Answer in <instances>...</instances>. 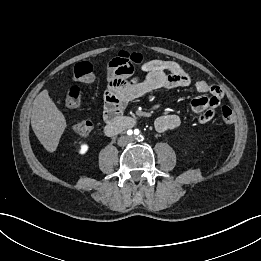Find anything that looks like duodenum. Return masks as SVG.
<instances>
[{"label":"duodenum","mask_w":261,"mask_h":261,"mask_svg":"<svg viewBox=\"0 0 261 261\" xmlns=\"http://www.w3.org/2000/svg\"><path fill=\"white\" fill-rule=\"evenodd\" d=\"M135 122L133 119L128 117H122L112 122L107 123L105 126V133L109 136L119 134L127 129L134 126Z\"/></svg>","instance_id":"obj_1"}]
</instances>
